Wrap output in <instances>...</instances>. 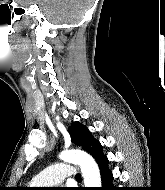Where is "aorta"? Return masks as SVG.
<instances>
[{
  "instance_id": "aorta-1",
  "label": "aorta",
  "mask_w": 165,
  "mask_h": 190,
  "mask_svg": "<svg viewBox=\"0 0 165 190\" xmlns=\"http://www.w3.org/2000/svg\"><path fill=\"white\" fill-rule=\"evenodd\" d=\"M59 158L80 165L85 187H100L101 176L97 163L87 153L79 150L63 151Z\"/></svg>"
}]
</instances>
